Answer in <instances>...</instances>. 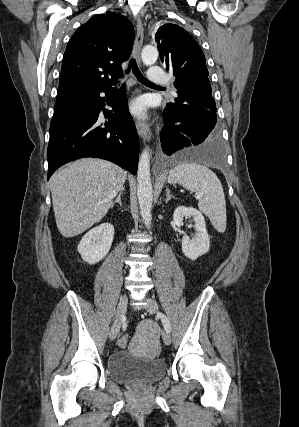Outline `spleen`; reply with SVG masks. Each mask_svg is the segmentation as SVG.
Instances as JSON below:
<instances>
[{
    "label": "spleen",
    "mask_w": 299,
    "mask_h": 427,
    "mask_svg": "<svg viewBox=\"0 0 299 427\" xmlns=\"http://www.w3.org/2000/svg\"><path fill=\"white\" fill-rule=\"evenodd\" d=\"M168 181L173 184L179 182L187 190L199 193L202 196L198 202L199 209L218 232H225V195L220 180L212 170L193 162L183 163L170 171Z\"/></svg>",
    "instance_id": "obj_1"
}]
</instances>
